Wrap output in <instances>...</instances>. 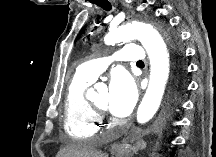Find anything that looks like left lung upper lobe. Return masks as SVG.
Listing matches in <instances>:
<instances>
[{
    "instance_id": "5c2ea615",
    "label": "left lung upper lobe",
    "mask_w": 216,
    "mask_h": 157,
    "mask_svg": "<svg viewBox=\"0 0 216 157\" xmlns=\"http://www.w3.org/2000/svg\"><path fill=\"white\" fill-rule=\"evenodd\" d=\"M161 29L166 36L167 44L170 49L174 67L175 65H177L180 68V70L183 72L184 71L183 50L179 45V38L177 34L169 30L165 25H161Z\"/></svg>"
}]
</instances>
